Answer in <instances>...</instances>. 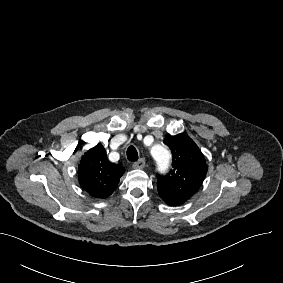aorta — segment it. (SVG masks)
<instances>
[{
  "instance_id": "obj_1",
  "label": "aorta",
  "mask_w": 283,
  "mask_h": 283,
  "mask_svg": "<svg viewBox=\"0 0 283 283\" xmlns=\"http://www.w3.org/2000/svg\"><path fill=\"white\" fill-rule=\"evenodd\" d=\"M151 154L157 162L158 169L165 171L168 169L170 163V152L162 145H155L151 149Z\"/></svg>"
}]
</instances>
